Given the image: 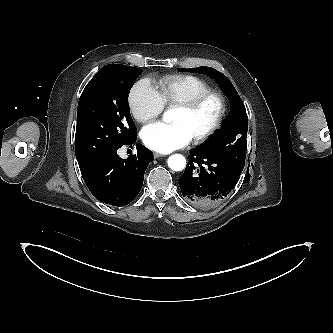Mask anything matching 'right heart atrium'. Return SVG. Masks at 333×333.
<instances>
[{
    "label": "right heart atrium",
    "instance_id": "right-heart-atrium-1",
    "mask_svg": "<svg viewBox=\"0 0 333 333\" xmlns=\"http://www.w3.org/2000/svg\"><path fill=\"white\" fill-rule=\"evenodd\" d=\"M128 102L133 118L140 123L158 117L165 107L158 91L146 79L133 86Z\"/></svg>",
    "mask_w": 333,
    "mask_h": 333
}]
</instances>
